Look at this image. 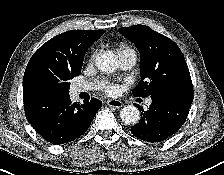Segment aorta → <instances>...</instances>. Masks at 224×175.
Returning a JSON list of instances; mask_svg holds the SVG:
<instances>
[{"label": "aorta", "mask_w": 224, "mask_h": 175, "mask_svg": "<svg viewBox=\"0 0 224 175\" xmlns=\"http://www.w3.org/2000/svg\"><path fill=\"white\" fill-rule=\"evenodd\" d=\"M95 64L99 70L106 73L114 72L119 66L118 58L111 51L99 54ZM120 118L126 124H136L140 120V112L137 107L127 105L122 108Z\"/></svg>", "instance_id": "aorta-1"}]
</instances>
